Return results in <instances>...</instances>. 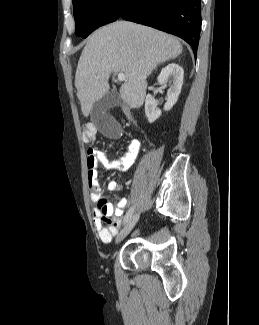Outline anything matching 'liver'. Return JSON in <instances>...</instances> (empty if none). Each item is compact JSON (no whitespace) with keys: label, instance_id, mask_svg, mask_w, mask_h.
Returning a JSON list of instances; mask_svg holds the SVG:
<instances>
[{"label":"liver","instance_id":"1","mask_svg":"<svg viewBox=\"0 0 259 325\" xmlns=\"http://www.w3.org/2000/svg\"><path fill=\"white\" fill-rule=\"evenodd\" d=\"M182 45L173 36L151 27L116 21L93 32L78 61L75 87L87 117L93 104L109 90L111 73H124L123 101L139 108L146 94V78L158 64L178 57Z\"/></svg>","mask_w":259,"mask_h":325}]
</instances>
